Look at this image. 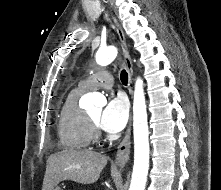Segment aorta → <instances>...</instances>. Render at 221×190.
<instances>
[{
  "label": "aorta",
  "instance_id": "aorta-1",
  "mask_svg": "<svg viewBox=\"0 0 221 190\" xmlns=\"http://www.w3.org/2000/svg\"><path fill=\"white\" fill-rule=\"evenodd\" d=\"M114 46L99 49L96 62L101 66L109 65L117 57ZM86 99L91 104H104L105 98L97 93H90ZM133 135L134 165L129 190H145L149 169V131L143 81L138 78L135 83L133 100Z\"/></svg>",
  "mask_w": 221,
  "mask_h": 190
}]
</instances>
